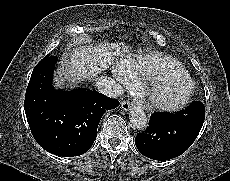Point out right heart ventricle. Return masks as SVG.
<instances>
[{"instance_id":"1","label":"right heart ventricle","mask_w":230,"mask_h":181,"mask_svg":"<svg viewBox=\"0 0 230 181\" xmlns=\"http://www.w3.org/2000/svg\"><path fill=\"white\" fill-rule=\"evenodd\" d=\"M117 70L123 71L129 80L142 78L150 80L163 73H175L184 70L173 58L159 52L139 53L128 56L118 63Z\"/></svg>"}]
</instances>
